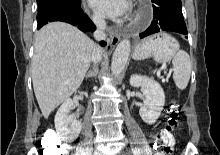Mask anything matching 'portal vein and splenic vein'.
I'll use <instances>...</instances> for the list:
<instances>
[{
	"label": "portal vein and splenic vein",
	"instance_id": "18ae733b",
	"mask_svg": "<svg viewBox=\"0 0 220 155\" xmlns=\"http://www.w3.org/2000/svg\"><path fill=\"white\" fill-rule=\"evenodd\" d=\"M163 68H164V67H162L161 69H163ZM170 75H171V73L169 72V73H168V76H170ZM162 81L164 82V79H162Z\"/></svg>",
	"mask_w": 220,
	"mask_h": 155
}]
</instances>
